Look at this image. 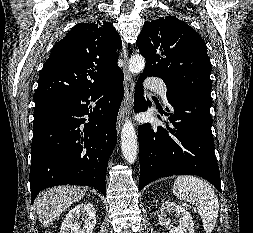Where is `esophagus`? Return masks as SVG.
Here are the masks:
<instances>
[{
  "label": "esophagus",
  "instance_id": "obj_1",
  "mask_svg": "<svg viewBox=\"0 0 253 233\" xmlns=\"http://www.w3.org/2000/svg\"><path fill=\"white\" fill-rule=\"evenodd\" d=\"M123 73H124V90L125 95L124 99L121 105V108L119 110L118 118H117V132L119 133L121 130V125L124 121L125 113L129 108H131L133 104V91H134V81L131 73L128 69V50L126 47V44L123 43Z\"/></svg>",
  "mask_w": 253,
  "mask_h": 233
}]
</instances>
